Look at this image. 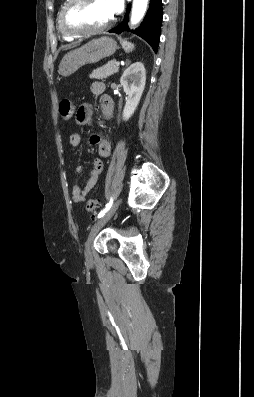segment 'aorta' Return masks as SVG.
I'll list each match as a JSON object with an SVG mask.
<instances>
[{
  "label": "aorta",
  "mask_w": 254,
  "mask_h": 397,
  "mask_svg": "<svg viewBox=\"0 0 254 397\" xmlns=\"http://www.w3.org/2000/svg\"><path fill=\"white\" fill-rule=\"evenodd\" d=\"M148 0H133L131 24H137L144 16Z\"/></svg>",
  "instance_id": "762f6f07"
}]
</instances>
